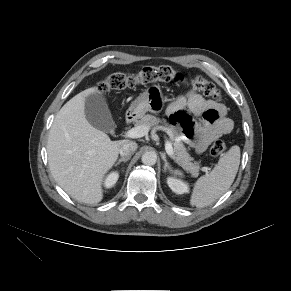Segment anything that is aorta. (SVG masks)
Listing matches in <instances>:
<instances>
[{
  "instance_id": "obj_1",
  "label": "aorta",
  "mask_w": 291,
  "mask_h": 291,
  "mask_svg": "<svg viewBox=\"0 0 291 291\" xmlns=\"http://www.w3.org/2000/svg\"><path fill=\"white\" fill-rule=\"evenodd\" d=\"M142 163L148 166H152L156 163L157 161V156L154 152H145L142 155Z\"/></svg>"
}]
</instances>
